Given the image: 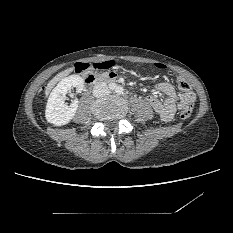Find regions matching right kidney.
Here are the masks:
<instances>
[{
  "mask_svg": "<svg viewBox=\"0 0 233 233\" xmlns=\"http://www.w3.org/2000/svg\"><path fill=\"white\" fill-rule=\"evenodd\" d=\"M72 87H76L77 93H81L84 87L82 77L73 74L62 79L48 98L45 117L54 126L68 124L77 111L78 100L75 99L69 106L65 103L66 94Z\"/></svg>",
  "mask_w": 233,
  "mask_h": 233,
  "instance_id": "ca27d5eb",
  "label": "right kidney"
}]
</instances>
